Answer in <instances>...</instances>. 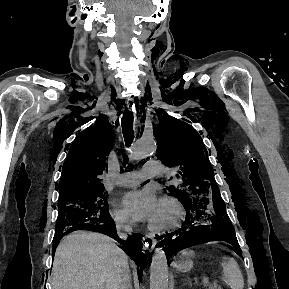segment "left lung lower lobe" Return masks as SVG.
Segmentation results:
<instances>
[{"label":"left lung lower lobe","mask_w":289,"mask_h":289,"mask_svg":"<svg viewBox=\"0 0 289 289\" xmlns=\"http://www.w3.org/2000/svg\"><path fill=\"white\" fill-rule=\"evenodd\" d=\"M225 203L214 201L210 206L201 199H196L191 205H186V219L183 226L165 236L166 255L169 259L178 251L192 246L194 238L209 236L230 242L242 257L234 228L225 211ZM213 214L214 216H211ZM211 219V224L209 221Z\"/></svg>","instance_id":"1"}]
</instances>
